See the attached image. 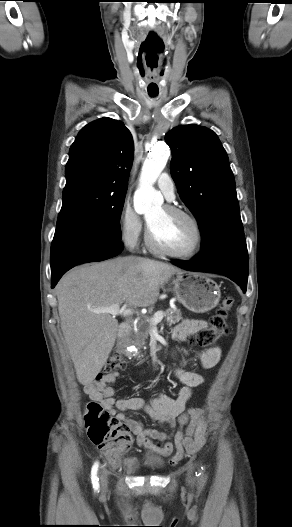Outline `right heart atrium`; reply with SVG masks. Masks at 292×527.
Returning <instances> with one entry per match:
<instances>
[{"label":"right heart atrium","instance_id":"d8ad5b80","mask_svg":"<svg viewBox=\"0 0 292 527\" xmlns=\"http://www.w3.org/2000/svg\"><path fill=\"white\" fill-rule=\"evenodd\" d=\"M119 227L124 243L130 247L137 246L143 232V224L139 215L127 201L121 207Z\"/></svg>","mask_w":292,"mask_h":527}]
</instances>
